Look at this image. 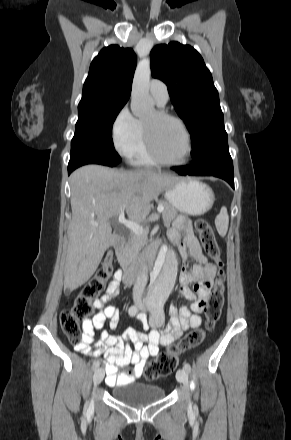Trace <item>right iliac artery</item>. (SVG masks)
Masks as SVG:
<instances>
[{
  "mask_svg": "<svg viewBox=\"0 0 291 440\" xmlns=\"http://www.w3.org/2000/svg\"><path fill=\"white\" fill-rule=\"evenodd\" d=\"M128 312H129V315L133 317L138 313V308L136 306H131L129 308ZM99 365H100L99 360L94 361V363L92 365V369L96 370L99 367Z\"/></svg>",
  "mask_w": 291,
  "mask_h": 440,
  "instance_id": "1",
  "label": "right iliac artery"
}]
</instances>
